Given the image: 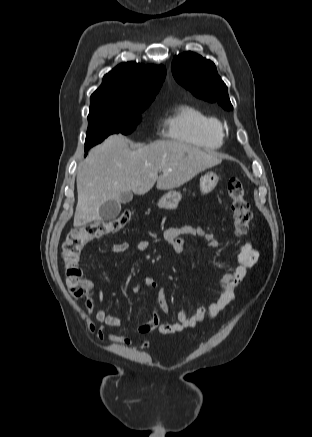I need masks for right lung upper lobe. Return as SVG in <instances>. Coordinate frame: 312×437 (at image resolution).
<instances>
[{
    "label": "right lung upper lobe",
    "mask_w": 312,
    "mask_h": 437,
    "mask_svg": "<svg viewBox=\"0 0 312 437\" xmlns=\"http://www.w3.org/2000/svg\"><path fill=\"white\" fill-rule=\"evenodd\" d=\"M166 76L164 66L122 63L103 78L91 95L90 112L140 113L152 103Z\"/></svg>",
    "instance_id": "1"
}]
</instances>
